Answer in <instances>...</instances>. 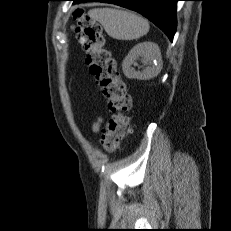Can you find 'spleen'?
Returning <instances> with one entry per match:
<instances>
[{
	"mask_svg": "<svg viewBox=\"0 0 231 231\" xmlns=\"http://www.w3.org/2000/svg\"><path fill=\"white\" fill-rule=\"evenodd\" d=\"M89 15L104 27L110 37L118 40L139 39L150 28L146 19L128 11L98 8L90 10Z\"/></svg>",
	"mask_w": 231,
	"mask_h": 231,
	"instance_id": "3e777b00",
	"label": "spleen"
}]
</instances>
